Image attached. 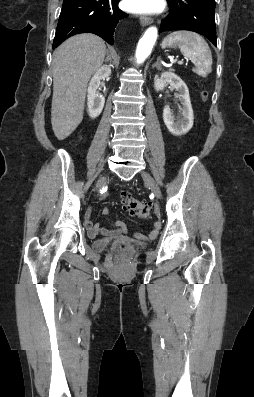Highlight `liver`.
Segmentation results:
<instances>
[{
  "label": "liver",
  "instance_id": "6515ba94",
  "mask_svg": "<svg viewBox=\"0 0 254 397\" xmlns=\"http://www.w3.org/2000/svg\"><path fill=\"white\" fill-rule=\"evenodd\" d=\"M105 55V42L89 33L67 39L54 51L51 124L58 140L81 123L87 83Z\"/></svg>",
  "mask_w": 254,
  "mask_h": 397
}]
</instances>
